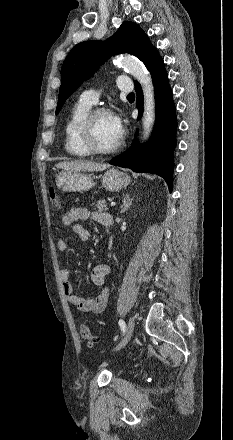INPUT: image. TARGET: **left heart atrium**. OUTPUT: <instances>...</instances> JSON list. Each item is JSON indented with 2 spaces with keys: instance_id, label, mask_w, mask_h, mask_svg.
Segmentation results:
<instances>
[{
  "instance_id": "obj_1",
  "label": "left heart atrium",
  "mask_w": 233,
  "mask_h": 440,
  "mask_svg": "<svg viewBox=\"0 0 233 440\" xmlns=\"http://www.w3.org/2000/svg\"><path fill=\"white\" fill-rule=\"evenodd\" d=\"M113 121H114V124H115L116 128L120 132H122V130H123L122 120L119 117L113 115Z\"/></svg>"
}]
</instances>
